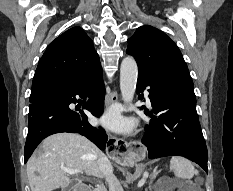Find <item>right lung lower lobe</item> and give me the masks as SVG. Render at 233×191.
Segmentation results:
<instances>
[{
  "mask_svg": "<svg viewBox=\"0 0 233 191\" xmlns=\"http://www.w3.org/2000/svg\"><path fill=\"white\" fill-rule=\"evenodd\" d=\"M77 95L81 98L90 97L83 108L96 117L102 114L105 98L102 69L79 83L41 84L32 87L25 163L44 138L59 132L79 133L105 150L108 137L104 130L92 127L84 112H76L69 108L71 103H76Z\"/></svg>",
  "mask_w": 233,
  "mask_h": 191,
  "instance_id": "right-lung-lower-lobe-1",
  "label": "right lung lower lobe"
}]
</instances>
